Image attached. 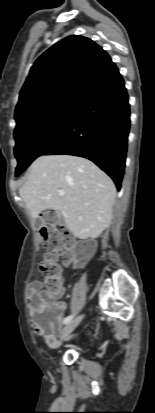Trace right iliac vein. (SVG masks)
<instances>
[{"label": "right iliac vein", "mask_w": 155, "mask_h": 413, "mask_svg": "<svg viewBox=\"0 0 155 413\" xmlns=\"http://www.w3.org/2000/svg\"><path fill=\"white\" fill-rule=\"evenodd\" d=\"M83 315L71 320L64 328L62 338L67 337L82 321Z\"/></svg>", "instance_id": "obj_1"}]
</instances>
